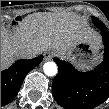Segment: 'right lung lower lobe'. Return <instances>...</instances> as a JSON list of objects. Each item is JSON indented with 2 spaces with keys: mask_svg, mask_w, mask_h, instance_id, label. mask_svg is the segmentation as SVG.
Returning a JSON list of instances; mask_svg holds the SVG:
<instances>
[{
  "mask_svg": "<svg viewBox=\"0 0 109 109\" xmlns=\"http://www.w3.org/2000/svg\"><path fill=\"white\" fill-rule=\"evenodd\" d=\"M42 60L43 56L18 60L10 68L1 71V106L10 103L15 98L27 73Z\"/></svg>",
  "mask_w": 109,
  "mask_h": 109,
  "instance_id": "98d812e1",
  "label": "right lung lower lobe"
}]
</instances>
